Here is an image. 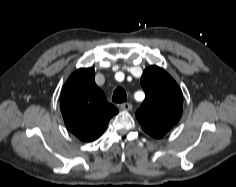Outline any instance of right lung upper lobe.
Masks as SVG:
<instances>
[{
  "mask_svg": "<svg viewBox=\"0 0 236 187\" xmlns=\"http://www.w3.org/2000/svg\"><path fill=\"white\" fill-rule=\"evenodd\" d=\"M95 71L81 68L67 80L60 95V106L67 129L82 141L101 136L118 109L107 102L95 84Z\"/></svg>",
  "mask_w": 236,
  "mask_h": 187,
  "instance_id": "right-lung-upper-lobe-1",
  "label": "right lung upper lobe"
}]
</instances>
